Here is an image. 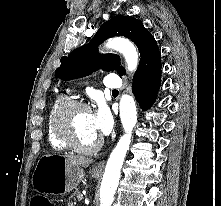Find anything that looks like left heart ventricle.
I'll return each instance as SVG.
<instances>
[{
    "instance_id": "1",
    "label": "left heart ventricle",
    "mask_w": 221,
    "mask_h": 206,
    "mask_svg": "<svg viewBox=\"0 0 221 206\" xmlns=\"http://www.w3.org/2000/svg\"><path fill=\"white\" fill-rule=\"evenodd\" d=\"M71 119L75 138L80 145L90 146L98 140L99 136L94 130L90 111L75 110Z\"/></svg>"
}]
</instances>
